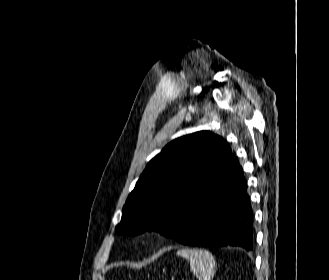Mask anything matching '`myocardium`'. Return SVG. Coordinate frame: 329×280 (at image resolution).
Listing matches in <instances>:
<instances>
[{"label": "myocardium", "instance_id": "obj_1", "mask_svg": "<svg viewBox=\"0 0 329 280\" xmlns=\"http://www.w3.org/2000/svg\"><path fill=\"white\" fill-rule=\"evenodd\" d=\"M153 238H154V235H152V234L145 235V239H147V240H151Z\"/></svg>", "mask_w": 329, "mask_h": 280}]
</instances>
